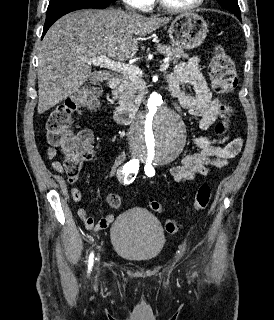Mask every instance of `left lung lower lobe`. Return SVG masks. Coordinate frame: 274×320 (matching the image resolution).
Masks as SVG:
<instances>
[{
	"mask_svg": "<svg viewBox=\"0 0 274 320\" xmlns=\"http://www.w3.org/2000/svg\"><path fill=\"white\" fill-rule=\"evenodd\" d=\"M235 16H236L238 19H240V20H241V13H239V14H235Z\"/></svg>",
	"mask_w": 274,
	"mask_h": 320,
	"instance_id": "1",
	"label": "left lung lower lobe"
}]
</instances>
